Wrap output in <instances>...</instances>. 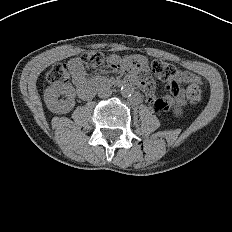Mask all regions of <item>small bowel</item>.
<instances>
[{"instance_id":"obj_1","label":"small bowel","mask_w":232,"mask_h":232,"mask_svg":"<svg viewBox=\"0 0 232 232\" xmlns=\"http://www.w3.org/2000/svg\"><path fill=\"white\" fill-rule=\"evenodd\" d=\"M107 64L110 68L118 71L123 70L125 67L131 73L138 71L137 77L141 81L140 86L145 90L147 99L156 112L167 111L173 101L178 104H183L185 102L186 91L180 88L181 84H195L202 86V80L199 76L189 72L177 71L175 76L167 84V89L172 93L173 97L165 96L156 99L152 89L154 82L149 78L150 74L148 70L150 68V63L147 59L142 58L138 54L132 55L125 61L116 56H112L108 59ZM68 67L72 74L73 82L79 90L87 83L86 73L82 64L78 59H72L68 62Z\"/></svg>"}]
</instances>
